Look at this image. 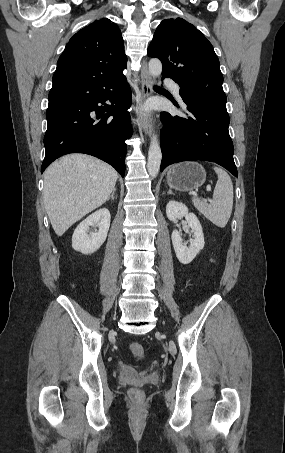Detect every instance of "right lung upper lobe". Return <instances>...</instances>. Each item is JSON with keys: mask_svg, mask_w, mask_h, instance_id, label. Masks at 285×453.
<instances>
[{"mask_svg": "<svg viewBox=\"0 0 285 453\" xmlns=\"http://www.w3.org/2000/svg\"><path fill=\"white\" fill-rule=\"evenodd\" d=\"M127 57L119 27L103 18L78 31L58 59L53 81L99 80L123 75Z\"/></svg>", "mask_w": 285, "mask_h": 453, "instance_id": "obj_1", "label": "right lung upper lobe"}]
</instances>
